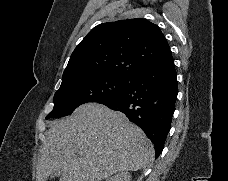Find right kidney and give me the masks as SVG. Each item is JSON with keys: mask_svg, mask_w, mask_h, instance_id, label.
I'll list each match as a JSON object with an SVG mask.
<instances>
[{"mask_svg": "<svg viewBox=\"0 0 228 181\" xmlns=\"http://www.w3.org/2000/svg\"><path fill=\"white\" fill-rule=\"evenodd\" d=\"M106 181H131L130 173H118L115 177H110V179H106Z\"/></svg>", "mask_w": 228, "mask_h": 181, "instance_id": "1", "label": "right kidney"}]
</instances>
